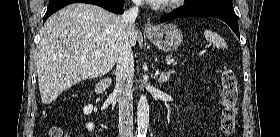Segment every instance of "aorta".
Listing matches in <instances>:
<instances>
[{
	"label": "aorta",
	"instance_id": "1",
	"mask_svg": "<svg viewBox=\"0 0 280 137\" xmlns=\"http://www.w3.org/2000/svg\"><path fill=\"white\" fill-rule=\"evenodd\" d=\"M138 137H146L149 127V104L145 95H141L137 107Z\"/></svg>",
	"mask_w": 280,
	"mask_h": 137
}]
</instances>
